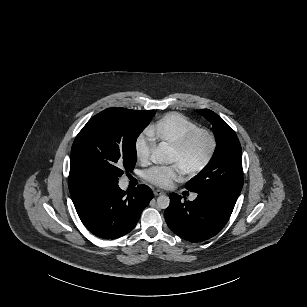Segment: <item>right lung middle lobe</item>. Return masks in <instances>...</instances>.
I'll list each match as a JSON object with an SVG mask.
<instances>
[{
  "label": "right lung middle lobe",
  "instance_id": "dd1d6c3e",
  "mask_svg": "<svg viewBox=\"0 0 307 307\" xmlns=\"http://www.w3.org/2000/svg\"><path fill=\"white\" fill-rule=\"evenodd\" d=\"M153 115L113 107L92 117L72 145L69 185L118 182L124 169L131 172L137 161L136 139Z\"/></svg>",
  "mask_w": 307,
  "mask_h": 307
}]
</instances>
